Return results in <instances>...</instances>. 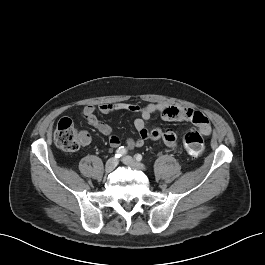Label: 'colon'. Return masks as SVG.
Wrapping results in <instances>:
<instances>
[{"instance_id": "1", "label": "colon", "mask_w": 265, "mask_h": 265, "mask_svg": "<svg viewBox=\"0 0 265 265\" xmlns=\"http://www.w3.org/2000/svg\"><path fill=\"white\" fill-rule=\"evenodd\" d=\"M56 145L64 151L75 152L80 148V134L76 130L74 123L69 118H62L54 133ZM183 145L187 153L197 157L204 150V139L200 132L187 130L183 134Z\"/></svg>"}]
</instances>
